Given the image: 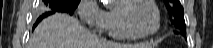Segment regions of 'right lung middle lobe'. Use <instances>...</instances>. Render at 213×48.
I'll use <instances>...</instances> for the list:
<instances>
[{"label": "right lung middle lobe", "mask_w": 213, "mask_h": 48, "mask_svg": "<svg viewBox=\"0 0 213 48\" xmlns=\"http://www.w3.org/2000/svg\"><path fill=\"white\" fill-rule=\"evenodd\" d=\"M79 2L80 0H43V3L48 11L52 10L56 12H67L71 15L78 6Z\"/></svg>", "instance_id": "obj_1"}]
</instances>
